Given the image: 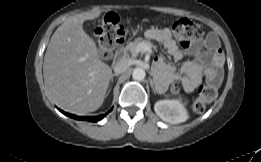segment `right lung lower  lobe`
Instances as JSON below:
<instances>
[{
  "label": "right lung lower lobe",
  "mask_w": 261,
  "mask_h": 162,
  "mask_svg": "<svg viewBox=\"0 0 261 162\" xmlns=\"http://www.w3.org/2000/svg\"><path fill=\"white\" fill-rule=\"evenodd\" d=\"M60 110V109H59ZM63 114L71 117V118H74V119H78V120H86V121H91V122H97L99 120H101L105 115H100V116H91V117H80V116H76V115H73V114H68L62 110H60Z\"/></svg>",
  "instance_id": "98d812e1"
}]
</instances>
